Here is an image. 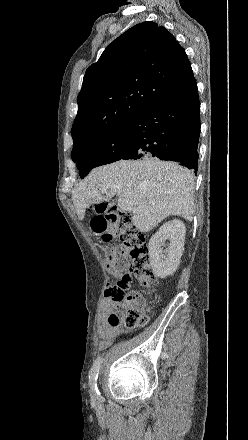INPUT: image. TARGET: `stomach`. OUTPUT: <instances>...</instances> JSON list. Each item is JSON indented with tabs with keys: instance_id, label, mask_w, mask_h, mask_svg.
<instances>
[{
	"instance_id": "obj_1",
	"label": "stomach",
	"mask_w": 248,
	"mask_h": 440,
	"mask_svg": "<svg viewBox=\"0 0 248 440\" xmlns=\"http://www.w3.org/2000/svg\"><path fill=\"white\" fill-rule=\"evenodd\" d=\"M90 211L92 213H97L99 211V206L97 204H92L90 206ZM88 226L89 231L96 232L97 237H103L105 241H110L112 239L108 218H89Z\"/></svg>"
}]
</instances>
